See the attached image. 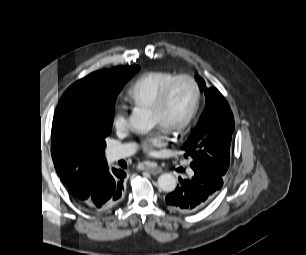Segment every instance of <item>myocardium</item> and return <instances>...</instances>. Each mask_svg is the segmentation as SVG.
<instances>
[{
	"label": "myocardium",
	"instance_id": "f54148a6",
	"mask_svg": "<svg viewBox=\"0 0 306 255\" xmlns=\"http://www.w3.org/2000/svg\"><path fill=\"white\" fill-rule=\"evenodd\" d=\"M182 81H188L194 87L195 95L192 103V107L185 117L178 125L169 129V131L175 135L182 134L196 119L202 100V87L198 80L189 74H180L177 75L173 80H171L166 87L156 96L152 104L150 105V109L152 111H161L165 107L168 102L174 88L176 85Z\"/></svg>",
	"mask_w": 306,
	"mask_h": 255
}]
</instances>
